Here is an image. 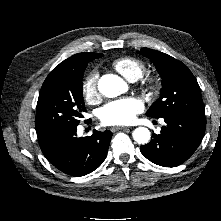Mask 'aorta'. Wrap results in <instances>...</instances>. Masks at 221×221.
Here are the masks:
<instances>
[{
	"instance_id": "762f6f07",
	"label": "aorta",
	"mask_w": 221,
	"mask_h": 221,
	"mask_svg": "<svg viewBox=\"0 0 221 221\" xmlns=\"http://www.w3.org/2000/svg\"><path fill=\"white\" fill-rule=\"evenodd\" d=\"M127 85L125 81L117 75H103L98 81V89L105 97H117L126 91ZM133 139L139 144L149 142L151 133L145 127H138L133 131Z\"/></svg>"
}]
</instances>
